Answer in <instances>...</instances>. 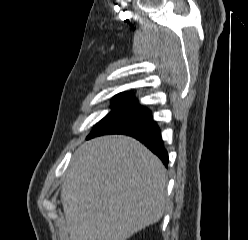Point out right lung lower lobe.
I'll return each instance as SVG.
<instances>
[{
  "mask_svg": "<svg viewBox=\"0 0 248 240\" xmlns=\"http://www.w3.org/2000/svg\"><path fill=\"white\" fill-rule=\"evenodd\" d=\"M124 134L136 138L168 165V153L161 139L160 129L150 111L132 104L100 121L87 139L106 135Z\"/></svg>",
  "mask_w": 248,
  "mask_h": 240,
  "instance_id": "right-lung-lower-lobe-1",
  "label": "right lung lower lobe"
}]
</instances>
